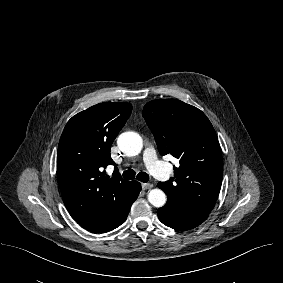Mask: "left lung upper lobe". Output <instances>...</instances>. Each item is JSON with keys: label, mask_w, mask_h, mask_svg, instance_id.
Listing matches in <instances>:
<instances>
[{"label": "left lung upper lobe", "mask_w": 283, "mask_h": 283, "mask_svg": "<svg viewBox=\"0 0 283 283\" xmlns=\"http://www.w3.org/2000/svg\"><path fill=\"white\" fill-rule=\"evenodd\" d=\"M142 115L160 154H171L180 163L174 167V177L158 185L168 199L209 214L223 177L221 148L209 119L198 108L177 99L150 101Z\"/></svg>", "instance_id": "5c2ea615"}]
</instances>
